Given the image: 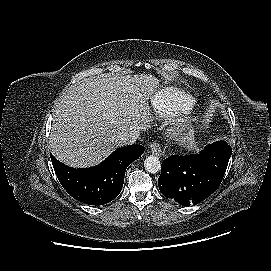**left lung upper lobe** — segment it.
Here are the masks:
<instances>
[{"mask_svg":"<svg viewBox=\"0 0 271 271\" xmlns=\"http://www.w3.org/2000/svg\"><path fill=\"white\" fill-rule=\"evenodd\" d=\"M203 152L207 159L223 168H227L232 150L225 141H219L208 145Z\"/></svg>","mask_w":271,"mask_h":271,"instance_id":"left-lung-upper-lobe-1","label":"left lung upper lobe"}]
</instances>
